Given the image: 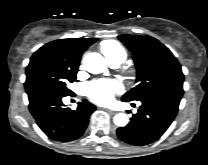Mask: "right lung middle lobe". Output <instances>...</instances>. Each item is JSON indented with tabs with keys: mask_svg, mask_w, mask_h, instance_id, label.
<instances>
[{
	"mask_svg": "<svg viewBox=\"0 0 208 165\" xmlns=\"http://www.w3.org/2000/svg\"><path fill=\"white\" fill-rule=\"evenodd\" d=\"M80 58L51 43L38 49L26 67L24 85L29 103L47 94L70 95L67 83L76 80Z\"/></svg>",
	"mask_w": 208,
	"mask_h": 165,
	"instance_id": "obj_1",
	"label": "right lung middle lobe"
}]
</instances>
